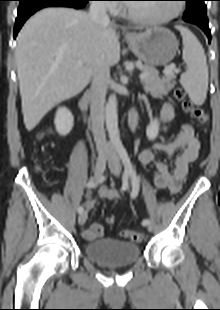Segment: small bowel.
I'll list each match as a JSON object with an SVG mask.
<instances>
[{
  "mask_svg": "<svg viewBox=\"0 0 220 310\" xmlns=\"http://www.w3.org/2000/svg\"><path fill=\"white\" fill-rule=\"evenodd\" d=\"M161 118L164 123L174 118V109L171 104L165 103L161 110ZM200 143L194 129L190 124H184L176 137L165 142L153 144L151 148L141 151L139 160L142 165L154 164L156 173L153 177L154 186L170 195L177 194L182 188L183 179L187 173L188 166L193 162L199 152ZM159 153L175 157L173 167L161 160ZM120 197L118 191L102 187L99 190V198L105 200H116ZM95 201L90 199L85 202L86 210H91ZM104 229L100 223H92L83 231V236L94 241L103 236Z\"/></svg>",
  "mask_w": 220,
  "mask_h": 310,
  "instance_id": "c3829d8e",
  "label": "small bowel"
}]
</instances>
